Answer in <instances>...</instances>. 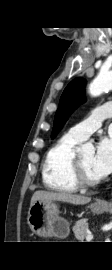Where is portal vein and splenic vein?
<instances>
[{
	"mask_svg": "<svg viewBox=\"0 0 112 270\" xmlns=\"http://www.w3.org/2000/svg\"><path fill=\"white\" fill-rule=\"evenodd\" d=\"M93 239V234L89 233L86 237V241L90 242Z\"/></svg>",
	"mask_w": 112,
	"mask_h": 270,
	"instance_id": "obj_1",
	"label": "portal vein and splenic vein"
}]
</instances>
